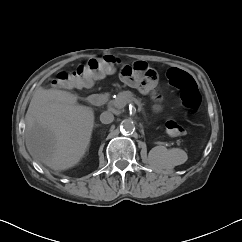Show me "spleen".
<instances>
[{"label": "spleen", "mask_w": 242, "mask_h": 242, "mask_svg": "<svg viewBox=\"0 0 242 242\" xmlns=\"http://www.w3.org/2000/svg\"><path fill=\"white\" fill-rule=\"evenodd\" d=\"M176 160H177V153L175 149H172V150H166L165 152H163L157 162L163 168H170L175 163Z\"/></svg>", "instance_id": "spleen-1"}]
</instances>
